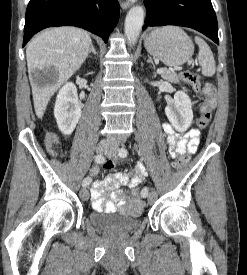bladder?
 <instances>
[{
	"mask_svg": "<svg viewBox=\"0 0 247 275\" xmlns=\"http://www.w3.org/2000/svg\"><path fill=\"white\" fill-rule=\"evenodd\" d=\"M90 222L103 230L129 233L139 226L140 210L135 214H122L97 210L89 216Z\"/></svg>",
	"mask_w": 247,
	"mask_h": 275,
	"instance_id": "bladder-1",
	"label": "bladder"
}]
</instances>
